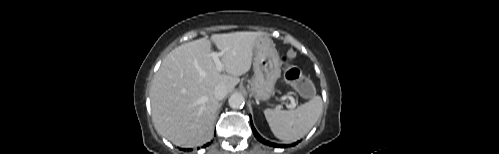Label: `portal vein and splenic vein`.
<instances>
[{"label": "portal vein and splenic vein", "mask_w": 499, "mask_h": 154, "mask_svg": "<svg viewBox=\"0 0 499 154\" xmlns=\"http://www.w3.org/2000/svg\"><path fill=\"white\" fill-rule=\"evenodd\" d=\"M222 54H223V52H219V53H218V52H212V53H211V56H212V58H213V60H214V62H215L216 68H217V70H218V71H220V72L223 70V64H222V62H221V61H220V59H219V57H220ZM288 98H289V99L291 100V102H292V104H291V105H289V106H290V107H294V106H295V104H294V98H293V97H288Z\"/></svg>", "instance_id": "1"}]
</instances>
